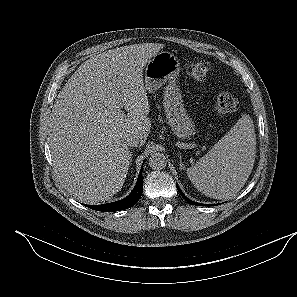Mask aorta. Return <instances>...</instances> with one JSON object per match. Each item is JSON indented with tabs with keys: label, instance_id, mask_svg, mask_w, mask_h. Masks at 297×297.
<instances>
[{
	"label": "aorta",
	"instance_id": "1",
	"mask_svg": "<svg viewBox=\"0 0 297 297\" xmlns=\"http://www.w3.org/2000/svg\"><path fill=\"white\" fill-rule=\"evenodd\" d=\"M166 157L163 153L155 152L150 155L149 166L152 169H163L166 166Z\"/></svg>",
	"mask_w": 297,
	"mask_h": 297
}]
</instances>
